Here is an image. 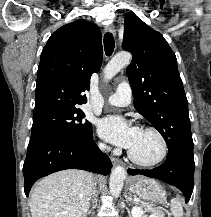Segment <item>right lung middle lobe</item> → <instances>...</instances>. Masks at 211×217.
<instances>
[{"instance_id": "right-lung-middle-lobe-1", "label": "right lung middle lobe", "mask_w": 211, "mask_h": 217, "mask_svg": "<svg viewBox=\"0 0 211 217\" xmlns=\"http://www.w3.org/2000/svg\"><path fill=\"white\" fill-rule=\"evenodd\" d=\"M81 109L55 111L33 118L31 134L51 133L77 142L92 138V124Z\"/></svg>"}]
</instances>
